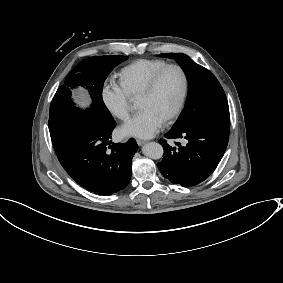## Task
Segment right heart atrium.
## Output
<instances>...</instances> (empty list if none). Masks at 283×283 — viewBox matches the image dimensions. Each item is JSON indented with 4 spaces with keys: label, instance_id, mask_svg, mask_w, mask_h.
Instances as JSON below:
<instances>
[{
    "label": "right heart atrium",
    "instance_id": "right-heart-atrium-1",
    "mask_svg": "<svg viewBox=\"0 0 283 283\" xmlns=\"http://www.w3.org/2000/svg\"><path fill=\"white\" fill-rule=\"evenodd\" d=\"M101 98L108 111L116 118L126 121L130 115L131 97L120 83L113 78L104 81Z\"/></svg>",
    "mask_w": 283,
    "mask_h": 283
}]
</instances>
